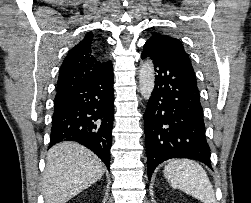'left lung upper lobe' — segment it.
<instances>
[{"label":"left lung upper lobe","mask_w":251,"mask_h":203,"mask_svg":"<svg viewBox=\"0 0 251 203\" xmlns=\"http://www.w3.org/2000/svg\"><path fill=\"white\" fill-rule=\"evenodd\" d=\"M148 43L154 44L158 48L165 50L166 52L179 57L184 62L188 63L191 67V61L188 54L185 52L181 42L173 37L163 35L160 33H154L148 40Z\"/></svg>","instance_id":"5c2ea615"}]
</instances>
